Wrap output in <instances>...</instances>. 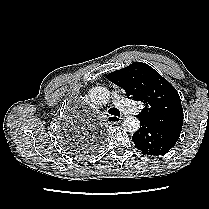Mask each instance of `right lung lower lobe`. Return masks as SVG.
I'll list each match as a JSON object with an SVG mask.
<instances>
[{
	"label": "right lung lower lobe",
	"instance_id": "1",
	"mask_svg": "<svg viewBox=\"0 0 209 209\" xmlns=\"http://www.w3.org/2000/svg\"><path fill=\"white\" fill-rule=\"evenodd\" d=\"M95 146H88V145H86V146H83V145H81L80 147H77V148H75V151L74 152H76V153H78V154H90V153H92L93 151H95V149H96V147H98L99 145H101V143H102V140H103V138H102V135H96L95 136Z\"/></svg>",
	"mask_w": 209,
	"mask_h": 209
}]
</instances>
